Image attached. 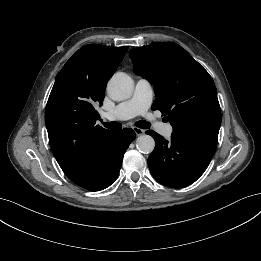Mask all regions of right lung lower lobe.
<instances>
[{"instance_id":"obj_1","label":"right lung lower lobe","mask_w":261,"mask_h":261,"mask_svg":"<svg viewBox=\"0 0 261 261\" xmlns=\"http://www.w3.org/2000/svg\"><path fill=\"white\" fill-rule=\"evenodd\" d=\"M134 139L135 132L132 129L113 131L103 141L98 155L91 164L70 180L90 191H100L109 187L116 180L124 153Z\"/></svg>"}]
</instances>
